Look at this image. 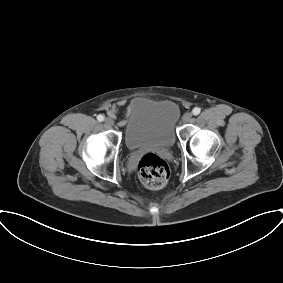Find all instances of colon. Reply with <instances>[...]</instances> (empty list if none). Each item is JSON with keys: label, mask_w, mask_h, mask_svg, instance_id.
Segmentation results:
<instances>
[{"label": "colon", "mask_w": 283, "mask_h": 283, "mask_svg": "<svg viewBox=\"0 0 283 283\" xmlns=\"http://www.w3.org/2000/svg\"><path fill=\"white\" fill-rule=\"evenodd\" d=\"M138 176L144 186L157 190L168 182L170 170L167 163L158 155L147 153L139 161Z\"/></svg>", "instance_id": "obj_1"}]
</instances>
